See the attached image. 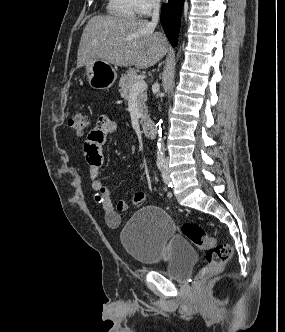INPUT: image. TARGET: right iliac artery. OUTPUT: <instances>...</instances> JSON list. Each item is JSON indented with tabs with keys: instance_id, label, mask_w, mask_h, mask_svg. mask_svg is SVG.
Returning a JSON list of instances; mask_svg holds the SVG:
<instances>
[{
	"instance_id": "82829eb1",
	"label": "right iliac artery",
	"mask_w": 285,
	"mask_h": 332,
	"mask_svg": "<svg viewBox=\"0 0 285 332\" xmlns=\"http://www.w3.org/2000/svg\"><path fill=\"white\" fill-rule=\"evenodd\" d=\"M157 167L161 171L164 167V160H158L157 161Z\"/></svg>"
}]
</instances>
